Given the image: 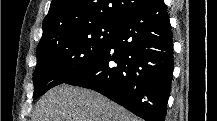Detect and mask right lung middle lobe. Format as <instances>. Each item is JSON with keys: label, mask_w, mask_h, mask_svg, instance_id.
Returning a JSON list of instances; mask_svg holds the SVG:
<instances>
[{"label": "right lung middle lobe", "mask_w": 217, "mask_h": 121, "mask_svg": "<svg viewBox=\"0 0 217 121\" xmlns=\"http://www.w3.org/2000/svg\"><path fill=\"white\" fill-rule=\"evenodd\" d=\"M118 23H96L37 48L33 75L34 94L39 97L88 68L106 49Z\"/></svg>", "instance_id": "dd1d6c3e"}]
</instances>
